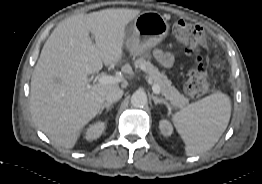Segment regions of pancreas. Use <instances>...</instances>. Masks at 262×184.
Returning <instances> with one entry per match:
<instances>
[{
    "instance_id": "cf45deb5",
    "label": "pancreas",
    "mask_w": 262,
    "mask_h": 184,
    "mask_svg": "<svg viewBox=\"0 0 262 184\" xmlns=\"http://www.w3.org/2000/svg\"><path fill=\"white\" fill-rule=\"evenodd\" d=\"M134 65L135 68L145 70L148 73L153 83L159 86L161 93L169 100L171 105L177 108H183L188 104V98L180 94L179 91L171 85L167 76L164 73H160L158 68L153 66L149 60L142 57L137 59ZM124 71L128 72L126 68Z\"/></svg>"
}]
</instances>
